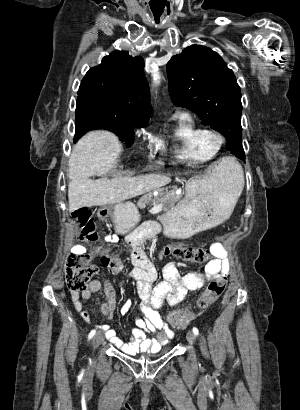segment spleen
Returning a JSON list of instances; mask_svg holds the SVG:
<instances>
[{
  "instance_id": "spleen-1",
  "label": "spleen",
  "mask_w": 300,
  "mask_h": 410,
  "mask_svg": "<svg viewBox=\"0 0 300 410\" xmlns=\"http://www.w3.org/2000/svg\"><path fill=\"white\" fill-rule=\"evenodd\" d=\"M219 169L221 171L232 170L234 175L233 184L238 199L244 187V173L241 165L230 158H224L219 164Z\"/></svg>"
}]
</instances>
